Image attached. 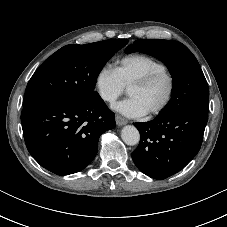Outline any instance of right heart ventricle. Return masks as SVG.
I'll return each instance as SVG.
<instances>
[{
	"mask_svg": "<svg viewBox=\"0 0 227 227\" xmlns=\"http://www.w3.org/2000/svg\"><path fill=\"white\" fill-rule=\"evenodd\" d=\"M164 68L166 66L161 61L145 54L122 56L114 65V70L124 87L152 71Z\"/></svg>",
	"mask_w": 227,
	"mask_h": 227,
	"instance_id": "right-heart-ventricle-1",
	"label": "right heart ventricle"
}]
</instances>
